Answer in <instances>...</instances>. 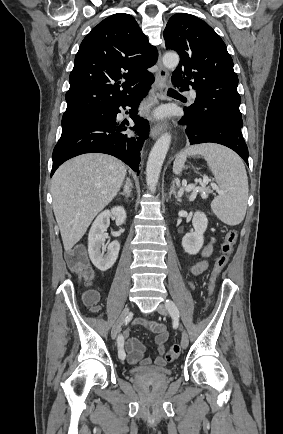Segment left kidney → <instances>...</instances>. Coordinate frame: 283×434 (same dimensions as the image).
I'll return each instance as SVG.
<instances>
[{"label":"left kidney","instance_id":"1","mask_svg":"<svg viewBox=\"0 0 283 434\" xmlns=\"http://www.w3.org/2000/svg\"><path fill=\"white\" fill-rule=\"evenodd\" d=\"M194 232H189L182 238V246L189 255H196L204 244V232L207 229L208 219L201 211H196L192 219Z\"/></svg>","mask_w":283,"mask_h":434}]
</instances>
